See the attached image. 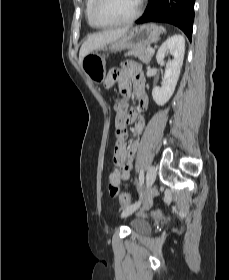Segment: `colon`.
I'll use <instances>...</instances> for the list:
<instances>
[{
    "label": "colon",
    "mask_w": 229,
    "mask_h": 280,
    "mask_svg": "<svg viewBox=\"0 0 229 280\" xmlns=\"http://www.w3.org/2000/svg\"><path fill=\"white\" fill-rule=\"evenodd\" d=\"M129 122V118L125 113L117 114L115 117V136L117 140L124 138L127 134V125ZM108 190L109 193L113 196L119 194L120 196V203L123 205H128L130 202L129 196L125 192L119 193V189L113 185L112 183L108 182ZM158 213L153 212H145L143 210L138 212L140 216H150V215H157Z\"/></svg>",
    "instance_id": "colon-1"
}]
</instances>
